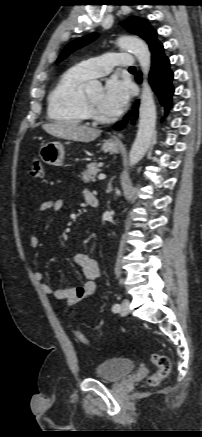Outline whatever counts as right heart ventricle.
<instances>
[{"label":"right heart ventricle","mask_w":202,"mask_h":437,"mask_svg":"<svg viewBox=\"0 0 202 437\" xmlns=\"http://www.w3.org/2000/svg\"><path fill=\"white\" fill-rule=\"evenodd\" d=\"M89 79L78 67L64 72L48 95L47 112L51 120L82 124L88 119L81 85Z\"/></svg>","instance_id":"right-heart-ventricle-1"}]
</instances>
